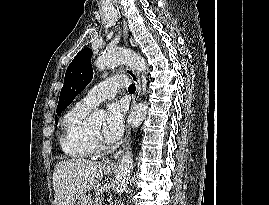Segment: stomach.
Listing matches in <instances>:
<instances>
[{
	"instance_id": "stomach-1",
	"label": "stomach",
	"mask_w": 269,
	"mask_h": 205,
	"mask_svg": "<svg viewBox=\"0 0 269 205\" xmlns=\"http://www.w3.org/2000/svg\"><path fill=\"white\" fill-rule=\"evenodd\" d=\"M104 171L109 174L112 171V167L105 166ZM75 205H93V202L89 196L83 194L78 198V201L75 203Z\"/></svg>"
}]
</instances>
